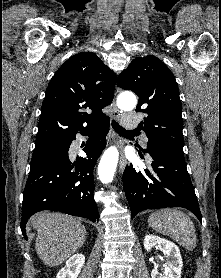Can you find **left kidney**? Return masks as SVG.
<instances>
[{
  "label": "left kidney",
  "mask_w": 221,
  "mask_h": 278,
  "mask_svg": "<svg viewBox=\"0 0 221 278\" xmlns=\"http://www.w3.org/2000/svg\"><path fill=\"white\" fill-rule=\"evenodd\" d=\"M143 244L146 251L149 252L152 248L157 247L164 255L171 258L166 264L169 268L166 270L165 274H161L156 267L151 272L152 278H181L183 262L180 250L176 244L155 235H146Z\"/></svg>",
  "instance_id": "obj_1"
}]
</instances>
